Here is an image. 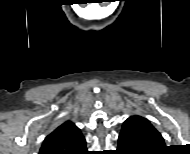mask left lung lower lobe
Masks as SVG:
<instances>
[{"label":"left lung lower lobe","mask_w":190,"mask_h":154,"mask_svg":"<svg viewBox=\"0 0 190 154\" xmlns=\"http://www.w3.org/2000/svg\"><path fill=\"white\" fill-rule=\"evenodd\" d=\"M164 146L162 135L141 116H131L123 124L118 150L125 154H147Z\"/></svg>","instance_id":"1"}]
</instances>
